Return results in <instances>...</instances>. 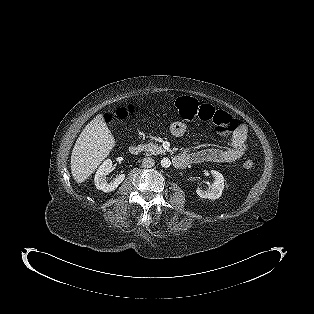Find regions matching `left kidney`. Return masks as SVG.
Here are the masks:
<instances>
[{"mask_svg":"<svg viewBox=\"0 0 314 314\" xmlns=\"http://www.w3.org/2000/svg\"><path fill=\"white\" fill-rule=\"evenodd\" d=\"M211 175L214 178V181L211 185V188L207 190H202L197 188L196 193L204 199L215 200L221 197L222 191L224 189V176L218 171L211 170Z\"/></svg>","mask_w":314,"mask_h":314,"instance_id":"obj_1","label":"left kidney"}]
</instances>
